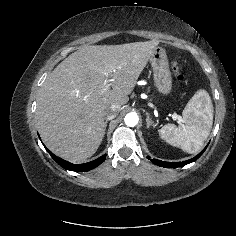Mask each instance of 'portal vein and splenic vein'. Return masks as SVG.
I'll return each instance as SVG.
<instances>
[{"instance_id": "obj_1", "label": "portal vein and splenic vein", "mask_w": 236, "mask_h": 236, "mask_svg": "<svg viewBox=\"0 0 236 236\" xmlns=\"http://www.w3.org/2000/svg\"><path fill=\"white\" fill-rule=\"evenodd\" d=\"M111 71H115V69L112 68ZM110 82H111V80H107V81L104 83V86H103V88H102V90H101L102 93H106V92L109 90L110 85H111ZM150 106L152 107V104H150ZM174 118H178V115L175 114V115H174Z\"/></svg>"}]
</instances>
